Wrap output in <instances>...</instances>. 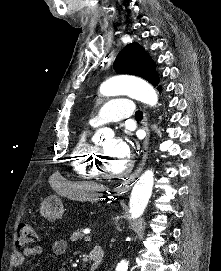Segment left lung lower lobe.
<instances>
[{
	"label": "left lung lower lobe",
	"instance_id": "left-lung-lower-lobe-1",
	"mask_svg": "<svg viewBox=\"0 0 221 271\" xmlns=\"http://www.w3.org/2000/svg\"><path fill=\"white\" fill-rule=\"evenodd\" d=\"M158 90H160V91H161V87H158Z\"/></svg>",
	"mask_w": 221,
	"mask_h": 271
}]
</instances>
